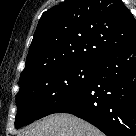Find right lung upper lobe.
I'll list each match as a JSON object with an SVG mask.
<instances>
[{
    "label": "right lung upper lobe",
    "instance_id": "right-lung-upper-lobe-1",
    "mask_svg": "<svg viewBox=\"0 0 136 136\" xmlns=\"http://www.w3.org/2000/svg\"><path fill=\"white\" fill-rule=\"evenodd\" d=\"M136 40V20L121 0H65L38 22L20 82L49 67L97 64Z\"/></svg>",
    "mask_w": 136,
    "mask_h": 136
}]
</instances>
